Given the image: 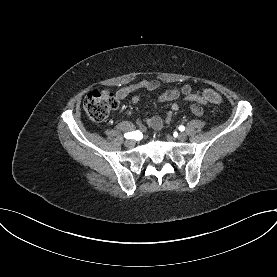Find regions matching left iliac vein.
I'll return each mask as SVG.
<instances>
[{
	"instance_id": "1",
	"label": "left iliac vein",
	"mask_w": 277,
	"mask_h": 277,
	"mask_svg": "<svg viewBox=\"0 0 277 277\" xmlns=\"http://www.w3.org/2000/svg\"><path fill=\"white\" fill-rule=\"evenodd\" d=\"M178 140H180V141H184L185 139H186V134H184V133H180L179 135H178Z\"/></svg>"
}]
</instances>
